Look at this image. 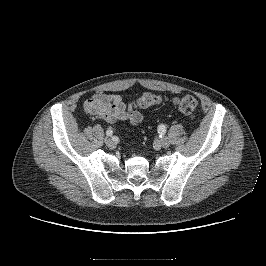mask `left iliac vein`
<instances>
[{
  "mask_svg": "<svg viewBox=\"0 0 266 266\" xmlns=\"http://www.w3.org/2000/svg\"><path fill=\"white\" fill-rule=\"evenodd\" d=\"M159 145L162 147V148H167L169 147L170 145V142L167 138L163 137L159 140Z\"/></svg>",
  "mask_w": 266,
  "mask_h": 266,
  "instance_id": "4c4485c4",
  "label": "left iliac vein"
}]
</instances>
